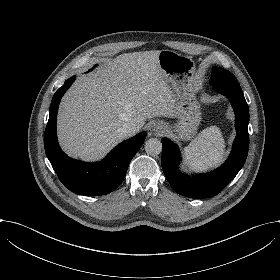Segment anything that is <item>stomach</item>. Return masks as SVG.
<instances>
[{
    "instance_id": "obj_1",
    "label": "stomach",
    "mask_w": 280,
    "mask_h": 280,
    "mask_svg": "<svg viewBox=\"0 0 280 280\" xmlns=\"http://www.w3.org/2000/svg\"><path fill=\"white\" fill-rule=\"evenodd\" d=\"M157 59L159 71L173 90L175 104L176 122L169 123L167 133L174 140L192 141L203 118L196 95L199 80L196 64L190 56L169 49L160 50Z\"/></svg>"
}]
</instances>
